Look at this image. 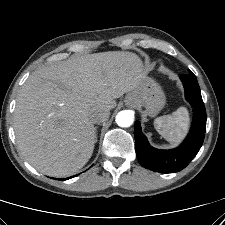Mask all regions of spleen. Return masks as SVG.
<instances>
[{"instance_id": "spleen-1", "label": "spleen", "mask_w": 225, "mask_h": 225, "mask_svg": "<svg viewBox=\"0 0 225 225\" xmlns=\"http://www.w3.org/2000/svg\"><path fill=\"white\" fill-rule=\"evenodd\" d=\"M189 123L188 110L185 107H180L172 114L156 118L154 127L164 139L176 144L185 136Z\"/></svg>"}]
</instances>
